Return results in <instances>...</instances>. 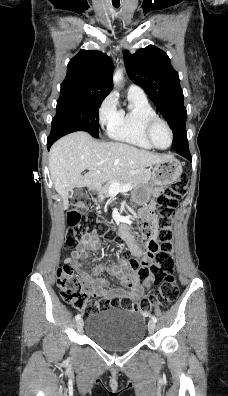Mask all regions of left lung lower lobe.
<instances>
[{
  "label": "left lung lower lobe",
  "mask_w": 228,
  "mask_h": 396,
  "mask_svg": "<svg viewBox=\"0 0 228 396\" xmlns=\"http://www.w3.org/2000/svg\"><path fill=\"white\" fill-rule=\"evenodd\" d=\"M181 139L187 143V147H188L186 132L181 136ZM183 156L186 157L187 159L191 160V155L189 153V149L187 152L183 153Z\"/></svg>",
  "instance_id": "1"
}]
</instances>
